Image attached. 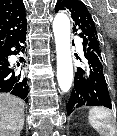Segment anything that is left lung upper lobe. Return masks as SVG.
Returning <instances> with one entry per match:
<instances>
[{
    "mask_svg": "<svg viewBox=\"0 0 117 136\" xmlns=\"http://www.w3.org/2000/svg\"><path fill=\"white\" fill-rule=\"evenodd\" d=\"M67 10L71 13L74 31H80L78 34L83 39L87 51L98 56L101 60V46L98 38L95 23L87 7L78 0H58L55 11Z\"/></svg>",
    "mask_w": 117,
    "mask_h": 136,
    "instance_id": "obj_1",
    "label": "left lung upper lobe"
}]
</instances>
